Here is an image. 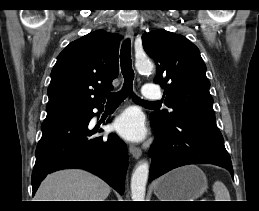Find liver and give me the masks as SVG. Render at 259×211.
Returning a JSON list of instances; mask_svg holds the SVG:
<instances>
[{"instance_id": "1", "label": "liver", "mask_w": 259, "mask_h": 211, "mask_svg": "<svg viewBox=\"0 0 259 211\" xmlns=\"http://www.w3.org/2000/svg\"><path fill=\"white\" fill-rule=\"evenodd\" d=\"M110 190L106 182L87 171L62 170L44 179L35 201H105Z\"/></svg>"}]
</instances>
